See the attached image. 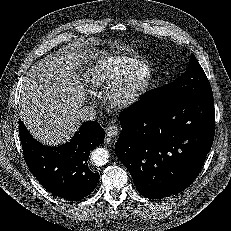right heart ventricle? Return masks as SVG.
Returning <instances> with one entry per match:
<instances>
[{
	"mask_svg": "<svg viewBox=\"0 0 231 231\" xmlns=\"http://www.w3.org/2000/svg\"><path fill=\"white\" fill-rule=\"evenodd\" d=\"M141 58L127 54H113L94 61L83 73V83L92 94L103 92L116 84Z\"/></svg>",
	"mask_w": 231,
	"mask_h": 231,
	"instance_id": "obj_1",
	"label": "right heart ventricle"
}]
</instances>
